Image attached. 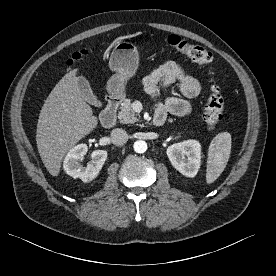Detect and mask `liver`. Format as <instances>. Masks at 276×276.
I'll return each mask as SVG.
<instances>
[{
  "label": "liver",
  "mask_w": 276,
  "mask_h": 276,
  "mask_svg": "<svg viewBox=\"0 0 276 276\" xmlns=\"http://www.w3.org/2000/svg\"><path fill=\"white\" fill-rule=\"evenodd\" d=\"M77 69L56 84L39 114L36 143L48 172L59 175L65 154L92 132L98 120L76 84Z\"/></svg>",
  "instance_id": "liver-1"
}]
</instances>
